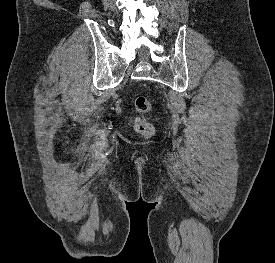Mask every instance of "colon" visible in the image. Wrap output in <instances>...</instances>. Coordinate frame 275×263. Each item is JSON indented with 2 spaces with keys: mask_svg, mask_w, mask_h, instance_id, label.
I'll list each match as a JSON object with an SVG mask.
<instances>
[{
  "mask_svg": "<svg viewBox=\"0 0 275 263\" xmlns=\"http://www.w3.org/2000/svg\"><path fill=\"white\" fill-rule=\"evenodd\" d=\"M134 107L136 112L134 119L135 131L145 138L150 137L154 132V127L152 123L146 119V115L152 109L151 101L144 96H139L134 101Z\"/></svg>",
  "mask_w": 275,
  "mask_h": 263,
  "instance_id": "1",
  "label": "colon"
}]
</instances>
